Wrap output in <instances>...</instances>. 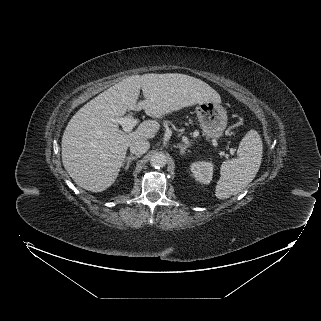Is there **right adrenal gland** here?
<instances>
[{"label": "right adrenal gland", "mask_w": 321, "mask_h": 321, "mask_svg": "<svg viewBox=\"0 0 321 321\" xmlns=\"http://www.w3.org/2000/svg\"><path fill=\"white\" fill-rule=\"evenodd\" d=\"M140 156H129L127 157L123 163H122V168H124V165L126 164L125 166V170H128L129 169V166H130V163L133 161V160H136L137 158H139Z\"/></svg>", "instance_id": "1"}]
</instances>
